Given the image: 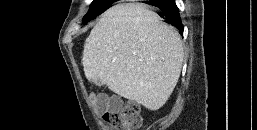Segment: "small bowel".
Returning <instances> with one entry per match:
<instances>
[{"mask_svg":"<svg viewBox=\"0 0 257 130\" xmlns=\"http://www.w3.org/2000/svg\"><path fill=\"white\" fill-rule=\"evenodd\" d=\"M93 103L98 110H110L119 105L120 100L116 96H109L107 94H98L92 97Z\"/></svg>","mask_w":257,"mask_h":130,"instance_id":"obj_1","label":"small bowel"}]
</instances>
